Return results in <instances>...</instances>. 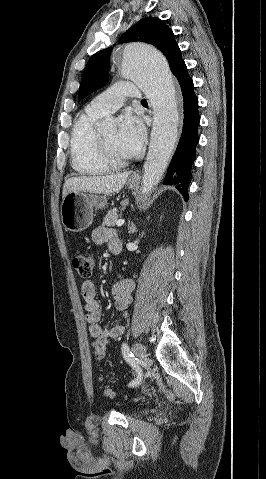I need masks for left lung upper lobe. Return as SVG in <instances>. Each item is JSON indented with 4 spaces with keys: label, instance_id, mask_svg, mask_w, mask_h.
<instances>
[{
    "label": "left lung upper lobe",
    "instance_id": "5c2ea615",
    "mask_svg": "<svg viewBox=\"0 0 266 479\" xmlns=\"http://www.w3.org/2000/svg\"><path fill=\"white\" fill-rule=\"evenodd\" d=\"M136 41L157 47L166 56L172 73L184 62L172 30L159 18L147 17L141 19L119 39V43ZM111 51L112 48H107L90 57L82 76L79 99L107 83Z\"/></svg>",
    "mask_w": 266,
    "mask_h": 479
}]
</instances>
